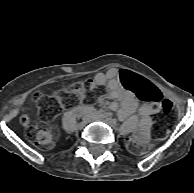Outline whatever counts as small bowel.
Masks as SVG:
<instances>
[{
  "mask_svg": "<svg viewBox=\"0 0 194 193\" xmlns=\"http://www.w3.org/2000/svg\"><path fill=\"white\" fill-rule=\"evenodd\" d=\"M94 83L106 89L107 96L113 100L110 107L118 118L122 120L128 119L132 124L136 125L135 138L140 142H147L151 128V115L154 112L153 105L144 103L139 107L140 120L137 122L132 114L138 107V98L133 91L122 84L117 69L112 68L105 73L96 74ZM149 83L159 93V90L151 82Z\"/></svg>",
  "mask_w": 194,
  "mask_h": 193,
  "instance_id": "c3829d8e",
  "label": "small bowel"
}]
</instances>
